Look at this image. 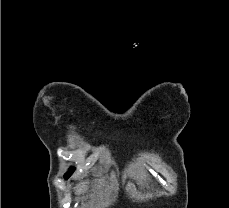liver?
I'll return each instance as SVG.
<instances>
[{
	"mask_svg": "<svg viewBox=\"0 0 229 208\" xmlns=\"http://www.w3.org/2000/svg\"><path fill=\"white\" fill-rule=\"evenodd\" d=\"M83 188H85V182H81V184H77L75 188L76 194H81Z\"/></svg>",
	"mask_w": 229,
	"mask_h": 208,
	"instance_id": "liver-1",
	"label": "liver"
}]
</instances>
